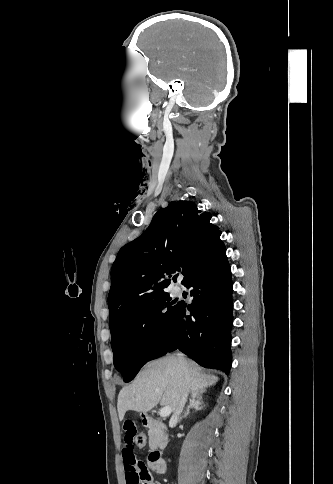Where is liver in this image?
Wrapping results in <instances>:
<instances>
[{
	"label": "liver",
	"instance_id": "1",
	"mask_svg": "<svg viewBox=\"0 0 333 484\" xmlns=\"http://www.w3.org/2000/svg\"><path fill=\"white\" fill-rule=\"evenodd\" d=\"M189 382L184 380V370L175 356H166L147 363L135 380L123 387L118 395L117 409L120 421L128 410L147 413L157 404L179 407L183 392L205 391L218 381V377L201 372V368L187 360Z\"/></svg>",
	"mask_w": 333,
	"mask_h": 484
}]
</instances>
